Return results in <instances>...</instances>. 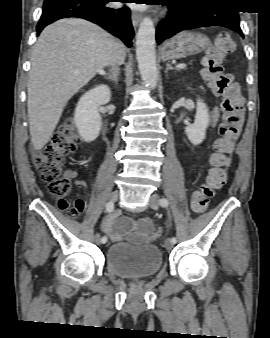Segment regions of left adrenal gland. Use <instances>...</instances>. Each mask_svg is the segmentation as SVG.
<instances>
[{"label":"left adrenal gland","mask_w":270,"mask_h":338,"mask_svg":"<svg viewBox=\"0 0 270 338\" xmlns=\"http://www.w3.org/2000/svg\"><path fill=\"white\" fill-rule=\"evenodd\" d=\"M174 68L169 64V63H166V70L165 72L167 73L169 70H173Z\"/></svg>","instance_id":"a2214340"}]
</instances>
